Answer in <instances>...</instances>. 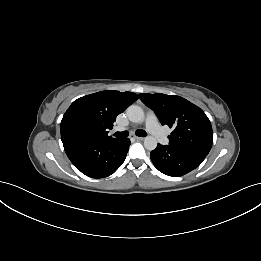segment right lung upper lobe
<instances>
[{
  "instance_id": "right-lung-upper-lobe-1",
  "label": "right lung upper lobe",
  "mask_w": 261,
  "mask_h": 261,
  "mask_svg": "<svg viewBox=\"0 0 261 261\" xmlns=\"http://www.w3.org/2000/svg\"><path fill=\"white\" fill-rule=\"evenodd\" d=\"M138 99L133 92L101 91L86 95L75 100L65 112L61 124L62 142L72 139L68 131L74 126L85 129L87 136L84 140L114 139L108 136L116 116Z\"/></svg>"
}]
</instances>
